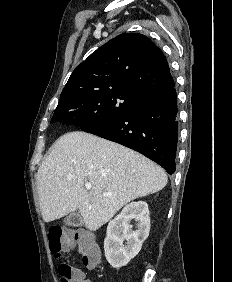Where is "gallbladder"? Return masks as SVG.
I'll use <instances>...</instances> for the list:
<instances>
[{"instance_id": "obj_1", "label": "gallbladder", "mask_w": 232, "mask_h": 282, "mask_svg": "<svg viewBox=\"0 0 232 282\" xmlns=\"http://www.w3.org/2000/svg\"><path fill=\"white\" fill-rule=\"evenodd\" d=\"M64 223L69 226H80L83 223V219L77 211H73L64 218Z\"/></svg>"}]
</instances>
